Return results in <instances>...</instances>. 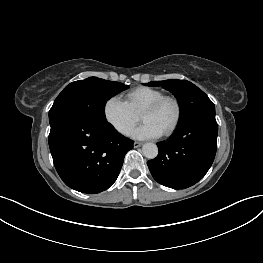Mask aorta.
Masks as SVG:
<instances>
[{"label": "aorta", "instance_id": "obj_1", "mask_svg": "<svg viewBox=\"0 0 263 263\" xmlns=\"http://www.w3.org/2000/svg\"><path fill=\"white\" fill-rule=\"evenodd\" d=\"M142 153L146 158L153 159L158 155V147L154 143H145L142 147Z\"/></svg>", "mask_w": 263, "mask_h": 263}]
</instances>
